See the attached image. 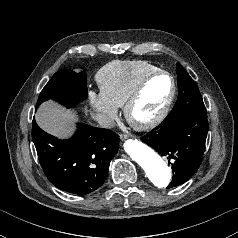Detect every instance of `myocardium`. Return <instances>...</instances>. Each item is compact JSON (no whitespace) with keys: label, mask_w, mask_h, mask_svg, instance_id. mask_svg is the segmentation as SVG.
Segmentation results:
<instances>
[{"label":"myocardium","mask_w":238,"mask_h":238,"mask_svg":"<svg viewBox=\"0 0 238 238\" xmlns=\"http://www.w3.org/2000/svg\"><path fill=\"white\" fill-rule=\"evenodd\" d=\"M159 76H166L169 79L170 85H171L169 96H168L165 104L161 108V110L153 118H151L145 122H137L132 117V110H133L134 106L136 105V103L139 101L147 84L151 80H153L154 78L159 77ZM175 94H176V83H175L173 76L169 72L163 71V70H157L153 73H150L149 75L145 76L137 84V86L135 87V89L133 90V92L131 93V95L129 96L127 101L125 102V104H124L125 119L134 129H136L138 131L150 130V129L154 128L155 126H157L158 124H160L164 120V118L167 116V114L169 113L170 108L173 104Z\"/></svg>","instance_id":"f54148a6"}]
</instances>
